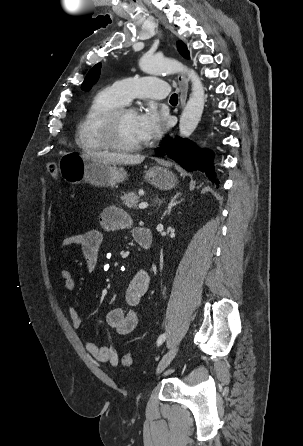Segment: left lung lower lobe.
<instances>
[{
  "label": "left lung lower lobe",
  "instance_id": "obj_1",
  "mask_svg": "<svg viewBox=\"0 0 303 446\" xmlns=\"http://www.w3.org/2000/svg\"><path fill=\"white\" fill-rule=\"evenodd\" d=\"M158 156H164L166 153L171 159L179 163L188 171H202L206 176L216 184L219 181L215 177L214 165L212 158L213 153L207 149L201 150L194 146L189 140L182 138H167L162 147L157 149Z\"/></svg>",
  "mask_w": 303,
  "mask_h": 446
}]
</instances>
